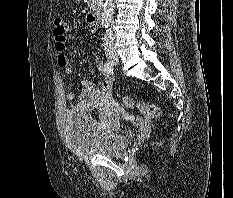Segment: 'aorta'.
I'll use <instances>...</instances> for the list:
<instances>
[{"label":"aorta","instance_id":"aorta-1","mask_svg":"<svg viewBox=\"0 0 233 198\" xmlns=\"http://www.w3.org/2000/svg\"><path fill=\"white\" fill-rule=\"evenodd\" d=\"M114 0H105L103 12H102V17H101V25L104 27H107L113 16V11H114Z\"/></svg>","mask_w":233,"mask_h":198}]
</instances>
